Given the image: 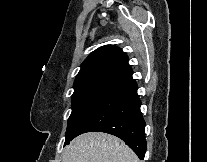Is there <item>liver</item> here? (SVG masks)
I'll return each mask as SVG.
<instances>
[{
	"label": "liver",
	"instance_id": "1",
	"mask_svg": "<svg viewBox=\"0 0 207 162\" xmlns=\"http://www.w3.org/2000/svg\"><path fill=\"white\" fill-rule=\"evenodd\" d=\"M65 162H140L118 137L102 132L84 133L65 148Z\"/></svg>",
	"mask_w": 207,
	"mask_h": 162
}]
</instances>
